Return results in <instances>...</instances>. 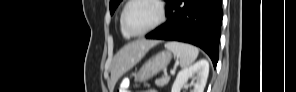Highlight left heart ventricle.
<instances>
[{"mask_svg": "<svg viewBox=\"0 0 296 92\" xmlns=\"http://www.w3.org/2000/svg\"><path fill=\"white\" fill-rule=\"evenodd\" d=\"M159 16L157 6L150 1L133 2L126 12V24L130 31L140 32L153 25Z\"/></svg>", "mask_w": 296, "mask_h": 92, "instance_id": "1", "label": "left heart ventricle"}]
</instances>
